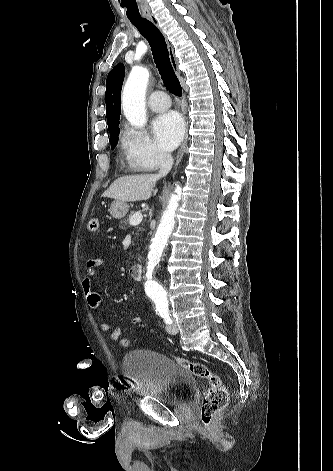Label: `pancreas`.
Returning a JSON list of instances; mask_svg holds the SVG:
<instances>
[{"mask_svg":"<svg viewBox=\"0 0 333 471\" xmlns=\"http://www.w3.org/2000/svg\"><path fill=\"white\" fill-rule=\"evenodd\" d=\"M133 214H135L134 211H132V212L128 215V217H126L123 221H121V229H127L128 224H129V221H130V218H131V216H132Z\"/></svg>","mask_w":333,"mask_h":471,"instance_id":"cf45deb5","label":"pancreas"}]
</instances>
